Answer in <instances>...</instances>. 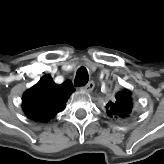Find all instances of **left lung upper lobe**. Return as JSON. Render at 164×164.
Returning a JSON list of instances; mask_svg holds the SVG:
<instances>
[{
    "label": "left lung upper lobe",
    "mask_w": 164,
    "mask_h": 164,
    "mask_svg": "<svg viewBox=\"0 0 164 164\" xmlns=\"http://www.w3.org/2000/svg\"><path fill=\"white\" fill-rule=\"evenodd\" d=\"M132 99L129 90L118 92L113 101L107 104V113L110 117L126 118L131 113Z\"/></svg>",
    "instance_id": "obj_1"
}]
</instances>
